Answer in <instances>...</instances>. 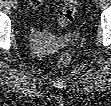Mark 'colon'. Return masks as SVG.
I'll list each match as a JSON object with an SVG mask.
<instances>
[{"mask_svg": "<svg viewBox=\"0 0 111 106\" xmlns=\"http://www.w3.org/2000/svg\"><path fill=\"white\" fill-rule=\"evenodd\" d=\"M77 10V3L74 0H68L65 2L60 16L58 18V25L61 27L67 26L74 20ZM58 64L66 66L71 62V54L69 52H63L57 59Z\"/></svg>", "mask_w": 111, "mask_h": 106, "instance_id": "1", "label": "colon"}]
</instances>
